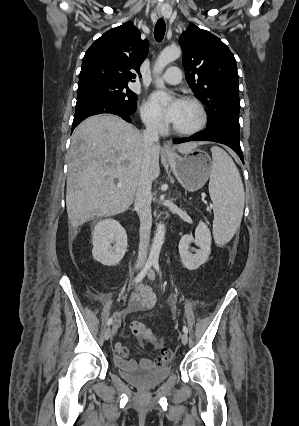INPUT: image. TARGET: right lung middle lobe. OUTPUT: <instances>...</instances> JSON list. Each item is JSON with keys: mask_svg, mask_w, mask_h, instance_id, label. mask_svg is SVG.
Returning a JSON list of instances; mask_svg holds the SVG:
<instances>
[{"mask_svg": "<svg viewBox=\"0 0 299 426\" xmlns=\"http://www.w3.org/2000/svg\"><path fill=\"white\" fill-rule=\"evenodd\" d=\"M84 96H96L114 101L128 109H135L137 95L127 84L118 83H91L78 86L77 99Z\"/></svg>", "mask_w": 299, "mask_h": 426, "instance_id": "dd1d6c3e", "label": "right lung middle lobe"}]
</instances>
